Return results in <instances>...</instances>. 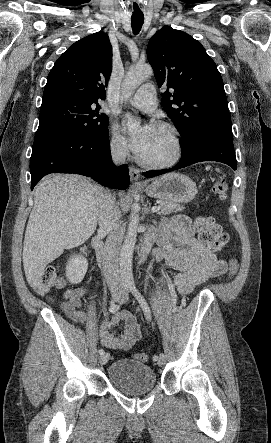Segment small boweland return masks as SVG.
<instances>
[{
  "label": "small bowel",
  "instance_id": "obj_1",
  "mask_svg": "<svg viewBox=\"0 0 271 443\" xmlns=\"http://www.w3.org/2000/svg\"><path fill=\"white\" fill-rule=\"evenodd\" d=\"M160 258L176 272L173 278L165 279L163 283L173 285L180 293L190 292L196 285L224 274L227 269L224 260L194 237L191 222L185 216H176L164 229ZM86 294L83 286L67 289L63 293L61 309L76 323L85 324L87 321V316L82 310ZM118 328H121L120 333L116 332ZM143 330L136 315L125 311L116 313L104 321L99 336L104 347L129 350L141 339Z\"/></svg>",
  "mask_w": 271,
  "mask_h": 443
}]
</instances>
